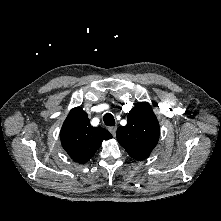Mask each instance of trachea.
Returning a JSON list of instances; mask_svg holds the SVG:
<instances>
[{
	"instance_id": "1",
	"label": "trachea",
	"mask_w": 221,
	"mask_h": 221,
	"mask_svg": "<svg viewBox=\"0 0 221 221\" xmlns=\"http://www.w3.org/2000/svg\"><path fill=\"white\" fill-rule=\"evenodd\" d=\"M103 121H104L105 125L108 127H113L115 125V119L111 113H106L103 116Z\"/></svg>"
}]
</instances>
